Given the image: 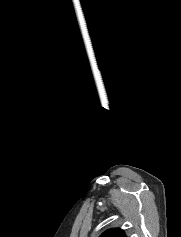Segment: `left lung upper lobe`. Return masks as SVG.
I'll list each match as a JSON object with an SVG mask.
<instances>
[{
	"label": "left lung upper lobe",
	"instance_id": "5c2ea615",
	"mask_svg": "<svg viewBox=\"0 0 181 237\" xmlns=\"http://www.w3.org/2000/svg\"><path fill=\"white\" fill-rule=\"evenodd\" d=\"M100 237H126L122 229L114 228L103 232Z\"/></svg>",
	"mask_w": 181,
	"mask_h": 237
}]
</instances>
